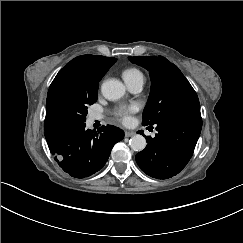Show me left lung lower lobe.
I'll return each mask as SVG.
<instances>
[{
	"label": "left lung lower lobe",
	"mask_w": 243,
	"mask_h": 243,
	"mask_svg": "<svg viewBox=\"0 0 243 243\" xmlns=\"http://www.w3.org/2000/svg\"><path fill=\"white\" fill-rule=\"evenodd\" d=\"M158 134L146 137V148L136 154V162L147 175L167 179L189 162L199 138L202 119L176 116L156 124Z\"/></svg>",
	"instance_id": "obj_1"
}]
</instances>
